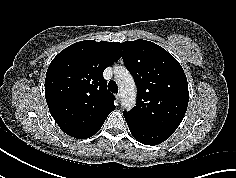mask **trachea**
Segmentation results:
<instances>
[{
	"mask_svg": "<svg viewBox=\"0 0 236 178\" xmlns=\"http://www.w3.org/2000/svg\"><path fill=\"white\" fill-rule=\"evenodd\" d=\"M108 89L109 91H111L112 93H118V86L117 84L115 83V81H110L108 83Z\"/></svg>",
	"mask_w": 236,
	"mask_h": 178,
	"instance_id": "trachea-1",
	"label": "trachea"
}]
</instances>
